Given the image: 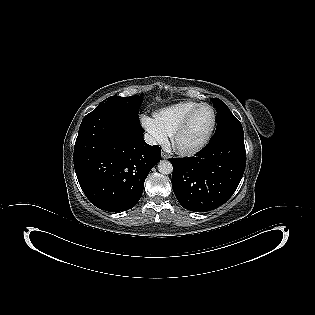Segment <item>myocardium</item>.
<instances>
[{"instance_id":"myocardium-1","label":"myocardium","mask_w":315,"mask_h":315,"mask_svg":"<svg viewBox=\"0 0 315 315\" xmlns=\"http://www.w3.org/2000/svg\"><path fill=\"white\" fill-rule=\"evenodd\" d=\"M202 107H208L211 110L212 115H213L212 124H211V127H210L208 133L206 134L204 139L194 147L187 148V149H183V148L178 147V145H177L178 138L187 129V127H188L190 121L192 120L193 116L195 115V113ZM216 124H217V113H216L215 108L211 104H208V103H199L185 116V118L181 121V123L177 126V128L174 130L173 134L171 135L173 147L175 148V150L178 153H180L181 155H184V156H191V155L197 154L204 147H206V145L209 143V141L212 138L213 133L215 131Z\"/></svg>"}]
</instances>
